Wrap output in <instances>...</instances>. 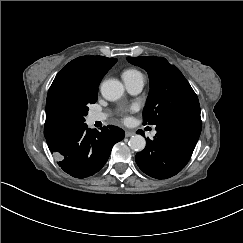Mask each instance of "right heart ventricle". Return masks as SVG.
I'll list each match as a JSON object with an SVG mask.
<instances>
[{"label":"right heart ventricle","mask_w":243,"mask_h":243,"mask_svg":"<svg viewBox=\"0 0 243 243\" xmlns=\"http://www.w3.org/2000/svg\"><path fill=\"white\" fill-rule=\"evenodd\" d=\"M121 78L126 85L135 84L144 80L142 72L135 68H129L121 73Z\"/></svg>","instance_id":"1"}]
</instances>
